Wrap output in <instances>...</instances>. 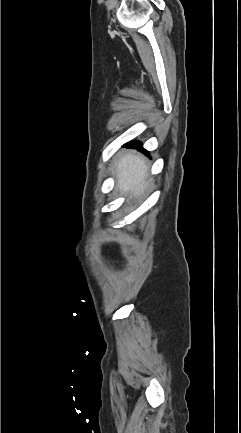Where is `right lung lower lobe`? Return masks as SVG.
I'll list each match as a JSON object with an SVG mask.
<instances>
[{"label": "right lung lower lobe", "mask_w": 241, "mask_h": 433, "mask_svg": "<svg viewBox=\"0 0 241 433\" xmlns=\"http://www.w3.org/2000/svg\"><path fill=\"white\" fill-rule=\"evenodd\" d=\"M127 146L142 149V144L140 142H137V141L131 142V143L127 144Z\"/></svg>", "instance_id": "obj_1"}]
</instances>
